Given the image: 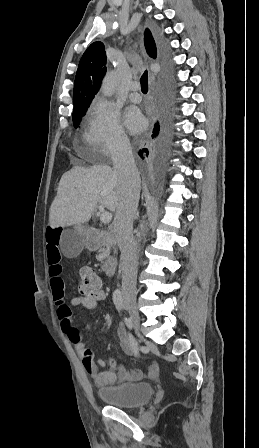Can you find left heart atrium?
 <instances>
[{"label":"left heart atrium","mask_w":259,"mask_h":448,"mask_svg":"<svg viewBox=\"0 0 259 448\" xmlns=\"http://www.w3.org/2000/svg\"><path fill=\"white\" fill-rule=\"evenodd\" d=\"M124 124L130 132H139L145 126V121L136 108H127L124 113Z\"/></svg>","instance_id":"39dd6f15"}]
</instances>
